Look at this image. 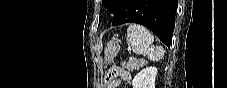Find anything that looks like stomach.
<instances>
[{
  "label": "stomach",
  "mask_w": 227,
  "mask_h": 88,
  "mask_svg": "<svg viewBox=\"0 0 227 88\" xmlns=\"http://www.w3.org/2000/svg\"><path fill=\"white\" fill-rule=\"evenodd\" d=\"M120 46L117 41H109L105 47V61L109 62L113 59L119 52Z\"/></svg>",
  "instance_id": "obj_1"
}]
</instances>
